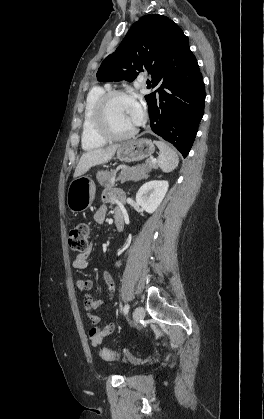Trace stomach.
<instances>
[{
  "mask_svg": "<svg viewBox=\"0 0 264 419\" xmlns=\"http://www.w3.org/2000/svg\"><path fill=\"white\" fill-rule=\"evenodd\" d=\"M116 151L120 161L132 162L150 157L155 146L151 140L137 139L119 145ZM94 197V182L86 176H79L68 187L67 206L73 213L82 212L92 204Z\"/></svg>",
  "mask_w": 264,
  "mask_h": 419,
  "instance_id": "1",
  "label": "stomach"
}]
</instances>
